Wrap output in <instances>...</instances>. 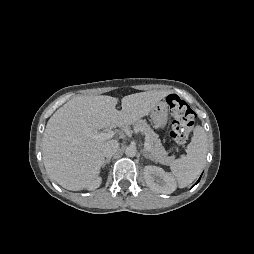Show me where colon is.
<instances>
[{
    "label": "colon",
    "mask_w": 254,
    "mask_h": 254,
    "mask_svg": "<svg viewBox=\"0 0 254 254\" xmlns=\"http://www.w3.org/2000/svg\"><path fill=\"white\" fill-rule=\"evenodd\" d=\"M167 103L170 110L175 115V120L170 130V137L175 147L180 148L189 138L196 115L190 106L177 95H169L167 97Z\"/></svg>",
    "instance_id": "colon-1"
}]
</instances>
